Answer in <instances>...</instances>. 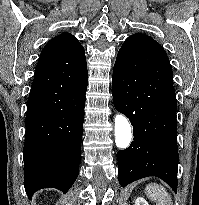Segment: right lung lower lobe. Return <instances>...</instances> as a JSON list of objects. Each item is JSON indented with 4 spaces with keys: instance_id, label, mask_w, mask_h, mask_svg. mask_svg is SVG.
Masks as SVG:
<instances>
[{
    "instance_id": "right-lung-lower-lobe-1",
    "label": "right lung lower lobe",
    "mask_w": 199,
    "mask_h": 205,
    "mask_svg": "<svg viewBox=\"0 0 199 205\" xmlns=\"http://www.w3.org/2000/svg\"><path fill=\"white\" fill-rule=\"evenodd\" d=\"M61 90L34 81L28 98L23 150L29 199L43 188L66 193L79 173L87 73L64 79Z\"/></svg>"
}]
</instances>
